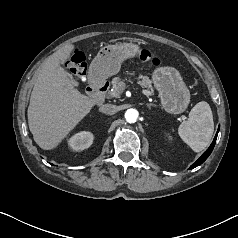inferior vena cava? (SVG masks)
<instances>
[{"mask_svg":"<svg viewBox=\"0 0 238 238\" xmlns=\"http://www.w3.org/2000/svg\"><path fill=\"white\" fill-rule=\"evenodd\" d=\"M99 111L105 114L113 115L116 113V106L112 104L101 105Z\"/></svg>","mask_w":238,"mask_h":238,"instance_id":"1","label":"inferior vena cava"}]
</instances>
